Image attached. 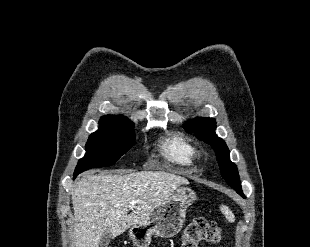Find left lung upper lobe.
Wrapping results in <instances>:
<instances>
[{"instance_id": "left-lung-upper-lobe-1", "label": "left lung upper lobe", "mask_w": 310, "mask_h": 247, "mask_svg": "<svg viewBox=\"0 0 310 247\" xmlns=\"http://www.w3.org/2000/svg\"><path fill=\"white\" fill-rule=\"evenodd\" d=\"M184 129L211 145L215 150L218 165L226 182L234 189L241 187L237 167L230 161L229 150L223 139L215 134L216 122L212 118H196L184 124Z\"/></svg>"}]
</instances>
